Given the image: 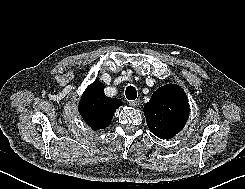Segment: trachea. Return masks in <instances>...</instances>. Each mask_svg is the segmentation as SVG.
Wrapping results in <instances>:
<instances>
[{
    "label": "trachea",
    "mask_w": 245,
    "mask_h": 189,
    "mask_svg": "<svg viewBox=\"0 0 245 189\" xmlns=\"http://www.w3.org/2000/svg\"><path fill=\"white\" fill-rule=\"evenodd\" d=\"M125 94L128 100H135L137 98V91L133 86H128L126 88Z\"/></svg>",
    "instance_id": "3493384b"
}]
</instances>
